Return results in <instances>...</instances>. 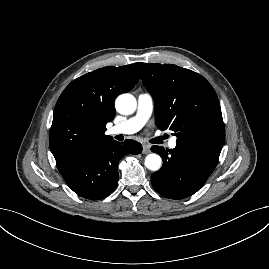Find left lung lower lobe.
<instances>
[{
  "label": "left lung lower lobe",
  "mask_w": 269,
  "mask_h": 269,
  "mask_svg": "<svg viewBox=\"0 0 269 269\" xmlns=\"http://www.w3.org/2000/svg\"><path fill=\"white\" fill-rule=\"evenodd\" d=\"M223 144L176 141V147L151 150L163 158L162 168L151 175L153 188L170 199H183L196 193L215 169Z\"/></svg>",
  "instance_id": "left-lung-lower-lobe-1"
}]
</instances>
